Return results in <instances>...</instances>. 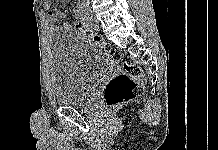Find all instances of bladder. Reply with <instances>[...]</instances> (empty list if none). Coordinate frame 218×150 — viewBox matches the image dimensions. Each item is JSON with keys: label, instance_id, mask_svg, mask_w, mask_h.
I'll list each match as a JSON object with an SVG mask.
<instances>
[{"label": "bladder", "instance_id": "1", "mask_svg": "<svg viewBox=\"0 0 218 150\" xmlns=\"http://www.w3.org/2000/svg\"><path fill=\"white\" fill-rule=\"evenodd\" d=\"M52 49L56 64L53 89L56 103L73 108L87 105L113 70V63L87 39L70 31H59Z\"/></svg>", "mask_w": 218, "mask_h": 150}]
</instances>
